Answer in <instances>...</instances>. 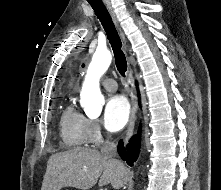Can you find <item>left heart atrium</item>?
<instances>
[{
	"mask_svg": "<svg viewBox=\"0 0 221 190\" xmlns=\"http://www.w3.org/2000/svg\"><path fill=\"white\" fill-rule=\"evenodd\" d=\"M130 106L127 99L121 95L108 98L104 113L103 123L109 131H118L128 122Z\"/></svg>",
	"mask_w": 221,
	"mask_h": 190,
	"instance_id": "1",
	"label": "left heart atrium"
}]
</instances>
